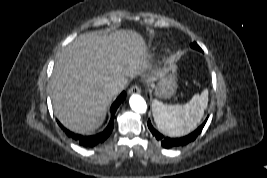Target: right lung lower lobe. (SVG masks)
Masks as SVG:
<instances>
[{"instance_id":"obj_1","label":"right lung lower lobe","mask_w":267,"mask_h":178,"mask_svg":"<svg viewBox=\"0 0 267 178\" xmlns=\"http://www.w3.org/2000/svg\"><path fill=\"white\" fill-rule=\"evenodd\" d=\"M125 98H126V93L122 92L111 106V118H110V121L107 127L102 132L96 135L83 136L80 134H75L73 132H70L66 128H64L60 123L59 125L65 131L68 137L72 138L74 141L78 142L80 145L85 146V147H93L99 143H102L105 139H107V137L112 132L113 126H114L115 112L117 108L119 107V105L125 100Z\"/></svg>"}]
</instances>
